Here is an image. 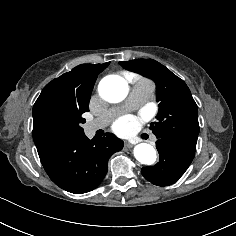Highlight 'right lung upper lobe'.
Wrapping results in <instances>:
<instances>
[{"label":"right lung upper lobe","instance_id":"right-lung-upper-lobe-1","mask_svg":"<svg viewBox=\"0 0 236 236\" xmlns=\"http://www.w3.org/2000/svg\"><path fill=\"white\" fill-rule=\"evenodd\" d=\"M108 63L81 64L52 80L42 90L33 106V119L45 106L72 108L89 105L97 76Z\"/></svg>","mask_w":236,"mask_h":236}]
</instances>
